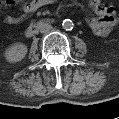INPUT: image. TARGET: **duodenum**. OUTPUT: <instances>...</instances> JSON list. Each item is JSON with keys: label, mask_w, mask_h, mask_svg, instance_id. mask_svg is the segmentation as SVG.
<instances>
[{"label": "duodenum", "mask_w": 119, "mask_h": 119, "mask_svg": "<svg viewBox=\"0 0 119 119\" xmlns=\"http://www.w3.org/2000/svg\"><path fill=\"white\" fill-rule=\"evenodd\" d=\"M51 23H53L51 19H42L31 23L26 30V36L31 37L35 35L42 27L50 25Z\"/></svg>", "instance_id": "obj_1"}]
</instances>
